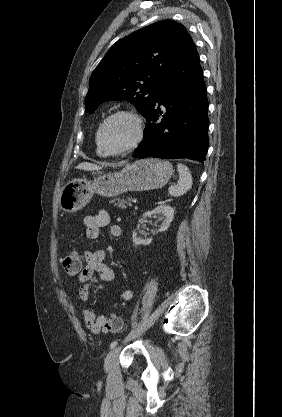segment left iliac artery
<instances>
[{
  "label": "left iliac artery",
  "instance_id": "left-iliac-artery-1",
  "mask_svg": "<svg viewBox=\"0 0 282 417\" xmlns=\"http://www.w3.org/2000/svg\"><path fill=\"white\" fill-rule=\"evenodd\" d=\"M117 341H113L111 344H110V349H113L114 347H116V345H117Z\"/></svg>",
  "mask_w": 282,
  "mask_h": 417
}]
</instances>
